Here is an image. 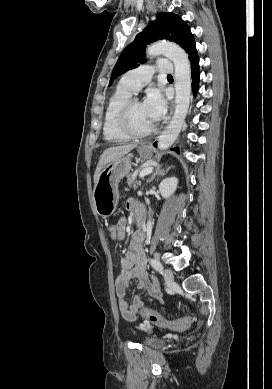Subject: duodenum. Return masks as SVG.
<instances>
[{
    "label": "duodenum",
    "instance_id": "410a0bca",
    "mask_svg": "<svg viewBox=\"0 0 272 389\" xmlns=\"http://www.w3.org/2000/svg\"><path fill=\"white\" fill-rule=\"evenodd\" d=\"M137 221L139 224L142 223V216L141 215H137Z\"/></svg>",
    "mask_w": 272,
    "mask_h": 389
}]
</instances>
